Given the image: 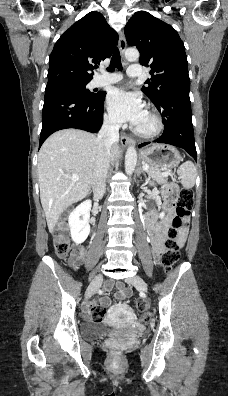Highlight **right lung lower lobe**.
<instances>
[{
	"label": "right lung lower lobe",
	"mask_w": 228,
	"mask_h": 396,
	"mask_svg": "<svg viewBox=\"0 0 228 396\" xmlns=\"http://www.w3.org/2000/svg\"><path fill=\"white\" fill-rule=\"evenodd\" d=\"M94 99H86L78 93L62 88L45 89L43 124L39 146L52 133L66 128L97 132L103 122L106 92Z\"/></svg>",
	"instance_id": "right-lung-lower-lobe-1"
}]
</instances>
